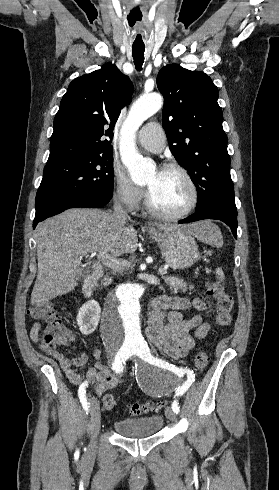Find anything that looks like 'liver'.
I'll list each match as a JSON object with an SVG mask.
<instances>
[{
    "mask_svg": "<svg viewBox=\"0 0 279 490\" xmlns=\"http://www.w3.org/2000/svg\"><path fill=\"white\" fill-rule=\"evenodd\" d=\"M158 230L186 232L199 238L204 222L189 226L156 224ZM38 274L31 294L32 306L68 294L83 276L82 258L87 254L110 252L113 258L134 254L138 248L137 232L132 224H123L103 210H66L48 218L35 230Z\"/></svg>",
    "mask_w": 279,
    "mask_h": 490,
    "instance_id": "liver-1",
    "label": "liver"
}]
</instances>
